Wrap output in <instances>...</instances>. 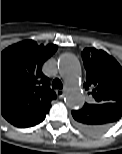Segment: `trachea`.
I'll list each match as a JSON object with an SVG mask.
<instances>
[{
  "label": "trachea",
  "mask_w": 122,
  "mask_h": 154,
  "mask_svg": "<svg viewBox=\"0 0 122 154\" xmlns=\"http://www.w3.org/2000/svg\"><path fill=\"white\" fill-rule=\"evenodd\" d=\"M52 88L53 89H60L61 90L63 88V84H62V82L59 79H55L52 82Z\"/></svg>",
  "instance_id": "obj_1"
}]
</instances>
